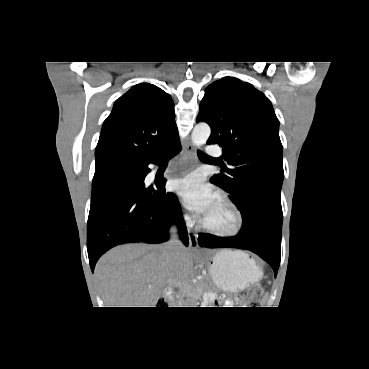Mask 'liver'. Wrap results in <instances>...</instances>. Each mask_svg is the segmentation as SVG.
Returning a JSON list of instances; mask_svg holds the SVG:
<instances>
[{"instance_id": "obj_1", "label": "liver", "mask_w": 369, "mask_h": 369, "mask_svg": "<svg viewBox=\"0 0 369 369\" xmlns=\"http://www.w3.org/2000/svg\"><path fill=\"white\" fill-rule=\"evenodd\" d=\"M192 275L191 253L182 247L168 256L164 245L118 246L95 267L106 307H155L165 287L185 285Z\"/></svg>"}]
</instances>
